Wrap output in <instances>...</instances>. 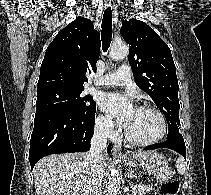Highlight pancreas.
Returning a JSON list of instances; mask_svg holds the SVG:
<instances>
[{"label": "pancreas", "mask_w": 211, "mask_h": 195, "mask_svg": "<svg viewBox=\"0 0 211 195\" xmlns=\"http://www.w3.org/2000/svg\"><path fill=\"white\" fill-rule=\"evenodd\" d=\"M157 185H140L138 187V195H146L148 192L154 190Z\"/></svg>", "instance_id": "obj_1"}]
</instances>
